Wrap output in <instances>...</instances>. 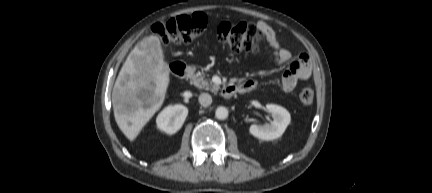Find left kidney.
Masks as SVG:
<instances>
[{"label":"left kidney","mask_w":432,"mask_h":193,"mask_svg":"<svg viewBox=\"0 0 432 193\" xmlns=\"http://www.w3.org/2000/svg\"><path fill=\"white\" fill-rule=\"evenodd\" d=\"M266 109L272 114L273 121L263 126L251 125L250 133L262 140L270 141L279 138L290 124V113L283 107L267 104Z\"/></svg>","instance_id":"1"}]
</instances>
